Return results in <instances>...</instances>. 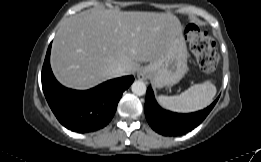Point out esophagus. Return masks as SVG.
<instances>
[{
  "instance_id": "1",
  "label": "esophagus",
  "mask_w": 261,
  "mask_h": 162,
  "mask_svg": "<svg viewBox=\"0 0 261 162\" xmlns=\"http://www.w3.org/2000/svg\"><path fill=\"white\" fill-rule=\"evenodd\" d=\"M137 77H138V79L143 80L146 78V73L144 71L140 70L137 72Z\"/></svg>"
}]
</instances>
